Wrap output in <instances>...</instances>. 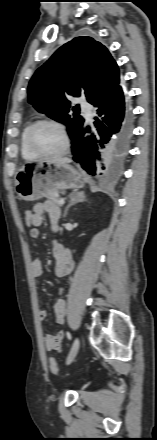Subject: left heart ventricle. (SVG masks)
<instances>
[{"mask_svg":"<svg viewBox=\"0 0 157 440\" xmlns=\"http://www.w3.org/2000/svg\"><path fill=\"white\" fill-rule=\"evenodd\" d=\"M35 146L47 153L57 152L62 149L64 140L58 128L52 125H41L34 134Z\"/></svg>","mask_w":157,"mask_h":440,"instance_id":"1","label":"left heart ventricle"}]
</instances>
